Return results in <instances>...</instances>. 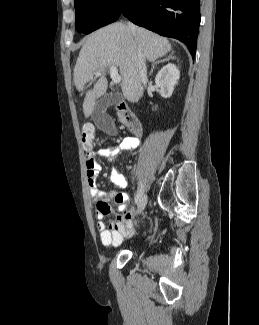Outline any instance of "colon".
<instances>
[{
	"label": "colon",
	"mask_w": 259,
	"mask_h": 325,
	"mask_svg": "<svg viewBox=\"0 0 259 325\" xmlns=\"http://www.w3.org/2000/svg\"><path fill=\"white\" fill-rule=\"evenodd\" d=\"M81 144L86 151L93 147L94 143V127L91 124H85L80 132Z\"/></svg>",
	"instance_id": "colon-1"
}]
</instances>
